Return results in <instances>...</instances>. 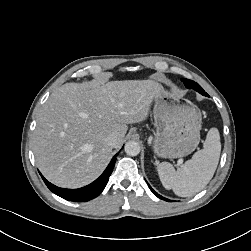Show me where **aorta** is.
Listing matches in <instances>:
<instances>
[{
    "label": "aorta",
    "instance_id": "1",
    "mask_svg": "<svg viewBox=\"0 0 251 251\" xmlns=\"http://www.w3.org/2000/svg\"><path fill=\"white\" fill-rule=\"evenodd\" d=\"M125 153L129 156H137L140 153L139 143L136 141H128L124 146Z\"/></svg>",
    "mask_w": 251,
    "mask_h": 251
}]
</instances>
